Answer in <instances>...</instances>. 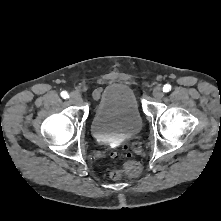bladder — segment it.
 Returning <instances> with one entry per match:
<instances>
[{
  "label": "bladder",
  "instance_id": "31cf9c89",
  "mask_svg": "<svg viewBox=\"0 0 221 221\" xmlns=\"http://www.w3.org/2000/svg\"><path fill=\"white\" fill-rule=\"evenodd\" d=\"M143 120L132 88L110 83L102 91L91 120L92 135L102 143L118 137L131 138L142 129Z\"/></svg>",
  "mask_w": 221,
  "mask_h": 221
}]
</instances>
